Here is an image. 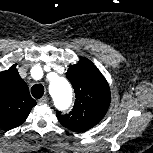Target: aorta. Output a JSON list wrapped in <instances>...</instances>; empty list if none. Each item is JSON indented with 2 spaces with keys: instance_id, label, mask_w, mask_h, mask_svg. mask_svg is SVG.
Returning a JSON list of instances; mask_svg holds the SVG:
<instances>
[{
  "instance_id": "obj_1",
  "label": "aorta",
  "mask_w": 153,
  "mask_h": 153,
  "mask_svg": "<svg viewBox=\"0 0 153 153\" xmlns=\"http://www.w3.org/2000/svg\"><path fill=\"white\" fill-rule=\"evenodd\" d=\"M49 89L57 106L67 108L70 105L72 88L65 78L54 75L50 80Z\"/></svg>"
}]
</instances>
